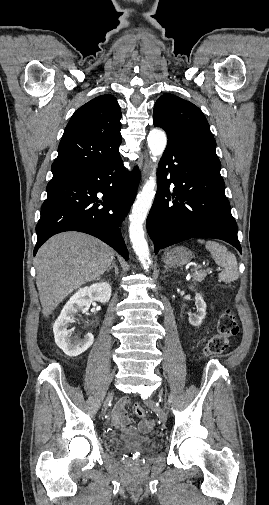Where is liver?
<instances>
[{
    "label": "liver",
    "mask_w": 269,
    "mask_h": 505,
    "mask_svg": "<svg viewBox=\"0 0 269 505\" xmlns=\"http://www.w3.org/2000/svg\"><path fill=\"white\" fill-rule=\"evenodd\" d=\"M114 250L79 232L50 238L36 255V284L42 313L48 317L74 290L98 279L111 265Z\"/></svg>",
    "instance_id": "liver-1"
}]
</instances>
